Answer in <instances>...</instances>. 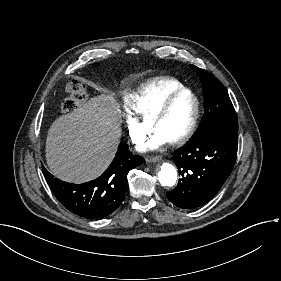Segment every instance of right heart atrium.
<instances>
[{"label": "right heart atrium", "mask_w": 281, "mask_h": 281, "mask_svg": "<svg viewBox=\"0 0 281 281\" xmlns=\"http://www.w3.org/2000/svg\"><path fill=\"white\" fill-rule=\"evenodd\" d=\"M123 120L129 140L135 145L139 144L144 139L146 130L145 127L138 122L135 113L129 105L124 109Z\"/></svg>", "instance_id": "d8ad5b80"}]
</instances>
